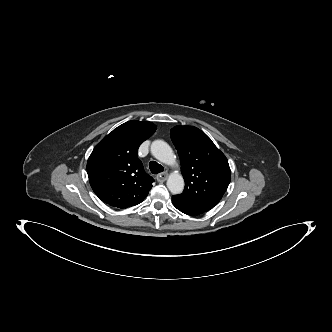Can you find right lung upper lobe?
Segmentation results:
<instances>
[{
	"label": "right lung upper lobe",
	"instance_id": "1",
	"mask_svg": "<svg viewBox=\"0 0 332 332\" xmlns=\"http://www.w3.org/2000/svg\"><path fill=\"white\" fill-rule=\"evenodd\" d=\"M148 121H128L105 136L93 149L87 172L94 193L113 207L141 203L154 181L138 159V148L155 132Z\"/></svg>",
	"mask_w": 332,
	"mask_h": 332
}]
</instances>
